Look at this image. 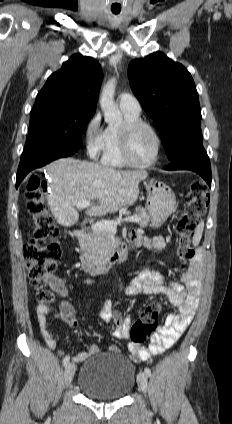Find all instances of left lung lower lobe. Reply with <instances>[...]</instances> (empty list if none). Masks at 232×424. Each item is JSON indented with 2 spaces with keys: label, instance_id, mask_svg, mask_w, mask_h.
Returning a JSON list of instances; mask_svg holds the SVG:
<instances>
[{
  "label": "left lung lower lobe",
  "instance_id": "left-lung-lower-lobe-1",
  "mask_svg": "<svg viewBox=\"0 0 232 424\" xmlns=\"http://www.w3.org/2000/svg\"><path fill=\"white\" fill-rule=\"evenodd\" d=\"M166 170H191L198 173L211 187V165L203 147L202 137L187 142L171 159Z\"/></svg>",
  "mask_w": 232,
  "mask_h": 424
}]
</instances>
